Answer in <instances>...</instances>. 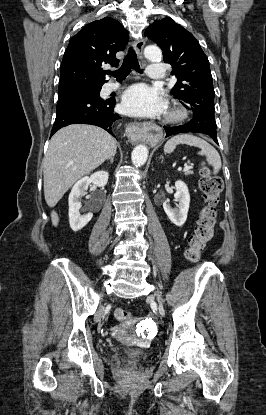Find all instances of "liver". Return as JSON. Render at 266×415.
I'll return each instance as SVG.
<instances>
[{
  "label": "liver",
  "mask_w": 266,
  "mask_h": 415,
  "mask_svg": "<svg viewBox=\"0 0 266 415\" xmlns=\"http://www.w3.org/2000/svg\"><path fill=\"white\" fill-rule=\"evenodd\" d=\"M115 139L105 130L84 124H74L57 131L50 140L43 160L44 196L54 207L67 190L116 153ZM53 226L59 223L51 213Z\"/></svg>",
  "instance_id": "1"
}]
</instances>
